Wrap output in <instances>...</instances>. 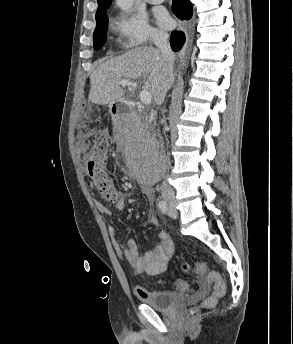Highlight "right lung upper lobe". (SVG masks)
<instances>
[{"label":"right lung upper lobe","mask_w":293,"mask_h":344,"mask_svg":"<svg viewBox=\"0 0 293 344\" xmlns=\"http://www.w3.org/2000/svg\"><path fill=\"white\" fill-rule=\"evenodd\" d=\"M112 0H97L98 2V9L97 12L101 11L102 9H104L107 6H110ZM96 12V13H97Z\"/></svg>","instance_id":"1"}]
</instances>
